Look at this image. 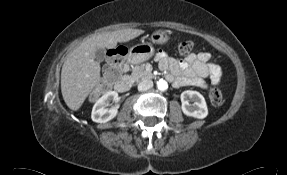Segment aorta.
I'll return each instance as SVG.
<instances>
[{
    "mask_svg": "<svg viewBox=\"0 0 287 175\" xmlns=\"http://www.w3.org/2000/svg\"><path fill=\"white\" fill-rule=\"evenodd\" d=\"M157 88L160 91H166L168 89V83L165 80L160 79L157 81Z\"/></svg>",
    "mask_w": 287,
    "mask_h": 175,
    "instance_id": "obj_1",
    "label": "aorta"
}]
</instances>
